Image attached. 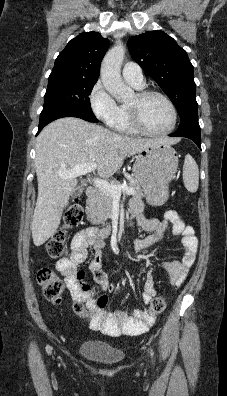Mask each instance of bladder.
<instances>
[{
    "instance_id": "bladder-1",
    "label": "bladder",
    "mask_w": 227,
    "mask_h": 396,
    "mask_svg": "<svg viewBox=\"0 0 227 396\" xmlns=\"http://www.w3.org/2000/svg\"><path fill=\"white\" fill-rule=\"evenodd\" d=\"M78 351L86 360L100 365H115L122 362L125 357L122 351L95 341L82 343Z\"/></svg>"
}]
</instances>
